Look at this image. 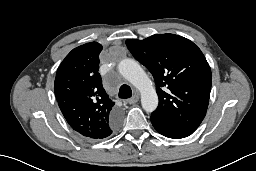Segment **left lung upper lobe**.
I'll use <instances>...</instances> for the list:
<instances>
[{"label":"left lung upper lobe","mask_w":256,"mask_h":171,"mask_svg":"<svg viewBox=\"0 0 256 171\" xmlns=\"http://www.w3.org/2000/svg\"><path fill=\"white\" fill-rule=\"evenodd\" d=\"M126 45L155 79L159 105L151 118L185 136L192 134L205 117L212 84L211 69L201 50L174 34L128 39Z\"/></svg>","instance_id":"5c2ea615"}]
</instances>
